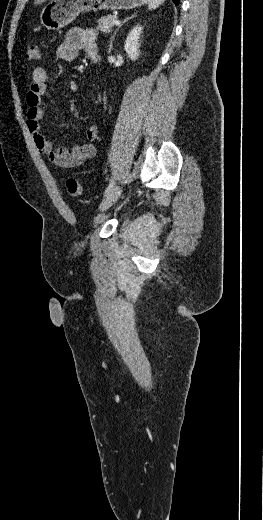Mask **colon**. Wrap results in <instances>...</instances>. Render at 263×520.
I'll return each instance as SVG.
<instances>
[{
  "label": "colon",
  "mask_w": 263,
  "mask_h": 520,
  "mask_svg": "<svg viewBox=\"0 0 263 520\" xmlns=\"http://www.w3.org/2000/svg\"><path fill=\"white\" fill-rule=\"evenodd\" d=\"M25 58L29 61H37L40 59V51L37 43L32 42L27 46ZM65 185L67 192L70 196L77 197L81 195L82 187L80 182L76 178H67Z\"/></svg>",
  "instance_id": "1"
}]
</instances>
